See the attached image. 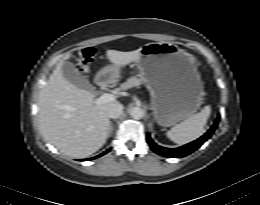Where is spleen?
Returning <instances> with one entry per match:
<instances>
[{
  "instance_id": "3e777b00",
  "label": "spleen",
  "mask_w": 260,
  "mask_h": 205,
  "mask_svg": "<svg viewBox=\"0 0 260 205\" xmlns=\"http://www.w3.org/2000/svg\"><path fill=\"white\" fill-rule=\"evenodd\" d=\"M211 113V107L205 106L201 112L192 115L167 132V136L173 142L183 145L199 138L204 132V126Z\"/></svg>"
}]
</instances>
